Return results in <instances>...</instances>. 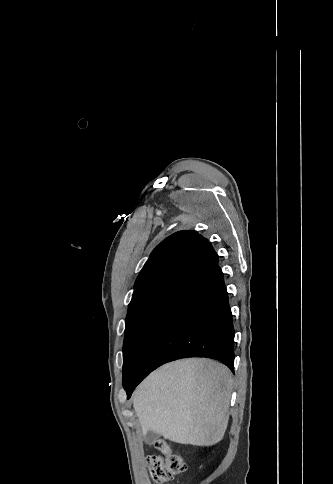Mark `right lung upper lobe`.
<instances>
[{
	"label": "right lung upper lobe",
	"mask_w": 333,
	"mask_h": 484,
	"mask_svg": "<svg viewBox=\"0 0 333 484\" xmlns=\"http://www.w3.org/2000/svg\"><path fill=\"white\" fill-rule=\"evenodd\" d=\"M217 262L218 255L198 232L172 234L153 250L138 275L128 311L160 295H169Z\"/></svg>",
	"instance_id": "obj_1"
}]
</instances>
